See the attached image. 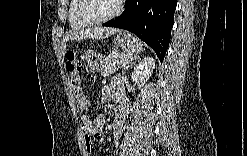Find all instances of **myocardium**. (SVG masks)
<instances>
[{"instance_id": "obj_1", "label": "myocardium", "mask_w": 247, "mask_h": 156, "mask_svg": "<svg viewBox=\"0 0 247 156\" xmlns=\"http://www.w3.org/2000/svg\"><path fill=\"white\" fill-rule=\"evenodd\" d=\"M115 8L114 10L107 16L98 18V19H86L83 16V10L86 4V0H80L77 6V10H76V17L77 20L86 27H93V26H98L101 24H104L112 19H114L115 17H117L121 11H122V7H123V3L120 0L115 1Z\"/></svg>"}]
</instances>
